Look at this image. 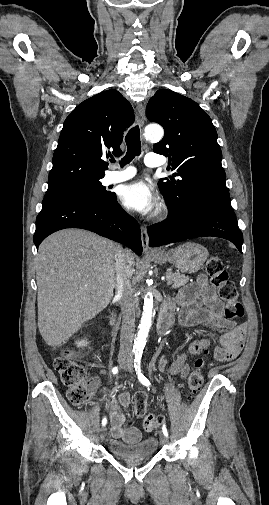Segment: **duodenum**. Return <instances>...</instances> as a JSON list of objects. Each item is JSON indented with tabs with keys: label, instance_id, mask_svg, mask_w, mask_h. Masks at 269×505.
<instances>
[{
	"label": "duodenum",
	"instance_id": "obj_1",
	"mask_svg": "<svg viewBox=\"0 0 269 505\" xmlns=\"http://www.w3.org/2000/svg\"><path fill=\"white\" fill-rule=\"evenodd\" d=\"M173 308L166 304L163 306L162 310L160 311L159 317H158V331L161 335H165L169 332L171 326H172V321H173ZM117 323V313L115 310H113L110 314V324L112 326H115Z\"/></svg>",
	"mask_w": 269,
	"mask_h": 505
}]
</instances>
